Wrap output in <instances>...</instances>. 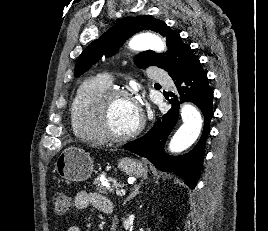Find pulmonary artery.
I'll list each match as a JSON object with an SVG mask.
<instances>
[{"mask_svg":"<svg viewBox=\"0 0 268 231\" xmlns=\"http://www.w3.org/2000/svg\"><path fill=\"white\" fill-rule=\"evenodd\" d=\"M149 77L154 81H158L162 84H165L167 87L170 85L169 83H164L167 79V73L160 70L156 66H152L149 68ZM104 80L107 81L109 84L111 83V80L109 78H105Z\"/></svg>","mask_w":268,"mask_h":231,"instance_id":"obj_1","label":"pulmonary artery"}]
</instances>
